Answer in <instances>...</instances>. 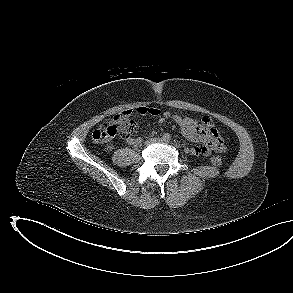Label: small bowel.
<instances>
[{
	"instance_id": "c3829d8e",
	"label": "small bowel",
	"mask_w": 293,
	"mask_h": 293,
	"mask_svg": "<svg viewBox=\"0 0 293 293\" xmlns=\"http://www.w3.org/2000/svg\"><path fill=\"white\" fill-rule=\"evenodd\" d=\"M135 112L140 115H152L159 117V122L172 120L177 123L181 129L182 135L193 142H200L201 145L191 148L190 152L193 155H210L212 152H223L226 145L221 137L219 130L214 122L209 117H204L201 122L196 121L191 117H183L177 114H172L169 111L161 112L156 108H148L145 106L138 107L134 111L126 112L130 115ZM127 142L130 145H138L142 142L139 136L128 137Z\"/></svg>"
}]
</instances>
